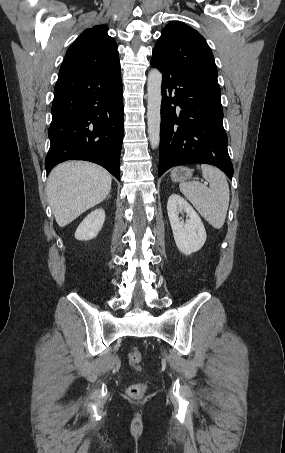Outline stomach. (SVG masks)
<instances>
[{
    "mask_svg": "<svg viewBox=\"0 0 285 453\" xmlns=\"http://www.w3.org/2000/svg\"><path fill=\"white\" fill-rule=\"evenodd\" d=\"M192 176V170L188 167L180 166L171 171V179L173 182H186Z\"/></svg>",
    "mask_w": 285,
    "mask_h": 453,
    "instance_id": "1",
    "label": "stomach"
}]
</instances>
